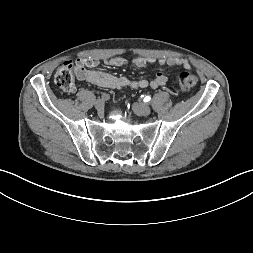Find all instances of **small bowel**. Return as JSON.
<instances>
[{
    "instance_id": "obj_1",
    "label": "small bowel",
    "mask_w": 253,
    "mask_h": 253,
    "mask_svg": "<svg viewBox=\"0 0 253 253\" xmlns=\"http://www.w3.org/2000/svg\"><path fill=\"white\" fill-rule=\"evenodd\" d=\"M154 58L135 57L128 61L125 57L117 56L105 61L99 62L96 57H81L77 59V78L81 81H86L93 85L109 88V89H123L126 87L137 89V88H158L167 84L166 75L157 71L155 77L151 80L140 79L130 80L126 77H118L111 73L105 72L109 67H122L127 65L129 62L137 68H143L146 65L155 62ZM160 66H178L185 70L190 69V64L186 59L171 57V58H160L157 60ZM98 70L93 69L94 67Z\"/></svg>"
}]
</instances>
